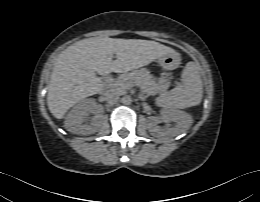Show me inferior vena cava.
Returning <instances> with one entry per match:
<instances>
[{"mask_svg":"<svg viewBox=\"0 0 260 202\" xmlns=\"http://www.w3.org/2000/svg\"><path fill=\"white\" fill-rule=\"evenodd\" d=\"M119 96L120 94L113 90H109L104 93V99L110 104H115L118 102Z\"/></svg>","mask_w":260,"mask_h":202,"instance_id":"602c4592","label":"inferior vena cava"}]
</instances>
